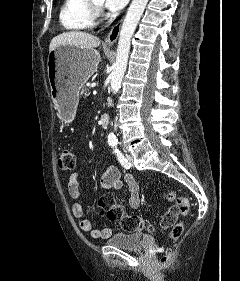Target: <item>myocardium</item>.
<instances>
[{
	"mask_svg": "<svg viewBox=\"0 0 240 281\" xmlns=\"http://www.w3.org/2000/svg\"><path fill=\"white\" fill-rule=\"evenodd\" d=\"M90 13L94 19V22L97 21L103 13V7L102 5L98 4L96 0H87Z\"/></svg>",
	"mask_w": 240,
	"mask_h": 281,
	"instance_id": "1",
	"label": "myocardium"
}]
</instances>
